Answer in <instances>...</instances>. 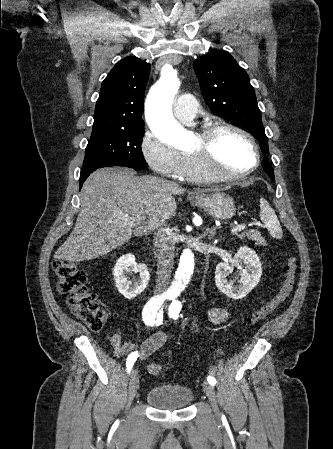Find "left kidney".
<instances>
[{"label":"left kidney","mask_w":333,"mask_h":449,"mask_svg":"<svg viewBox=\"0 0 333 449\" xmlns=\"http://www.w3.org/2000/svg\"><path fill=\"white\" fill-rule=\"evenodd\" d=\"M234 266L240 269V284L233 285L229 273ZM262 274V266L259 256L248 247H241L229 262L217 265L215 271V284L226 296L233 299L244 298L257 286Z\"/></svg>","instance_id":"obj_1"}]
</instances>
